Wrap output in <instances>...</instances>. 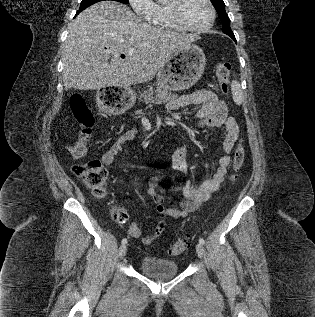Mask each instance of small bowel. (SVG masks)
<instances>
[{"instance_id":"c3829d8e","label":"small bowel","mask_w":315,"mask_h":317,"mask_svg":"<svg viewBox=\"0 0 315 317\" xmlns=\"http://www.w3.org/2000/svg\"><path fill=\"white\" fill-rule=\"evenodd\" d=\"M190 105H199V109L194 116L196 127L213 130L221 126L225 127L226 134L222 146L224 154L219 159V166L215 173L201 183H195L187 179L182 185L166 190L160 186L158 177H153L149 180L147 193L155 203L160 221L151 234L142 238L144 245H150L166 229V217L174 219L187 217L198 210L204 202L210 200L224 182L231 162L230 153L238 139L239 127L235 118L229 115L225 102L219 99L214 92L200 89L172 99L168 102L167 108L169 110H178ZM137 133L134 128L124 131L102 155L101 162L105 166L112 165L125 146L137 136ZM172 168L183 174L189 173L190 166L187 161L185 145H179L175 149L172 156ZM166 192L182 194L183 199L178 203L177 207L171 200L165 198ZM128 232L133 238H140L142 235L141 227L136 222L130 224Z\"/></svg>"}]
</instances>
